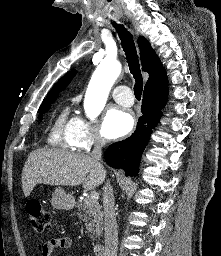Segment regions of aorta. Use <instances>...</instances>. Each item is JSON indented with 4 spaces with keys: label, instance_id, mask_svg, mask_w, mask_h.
Returning <instances> with one entry per match:
<instances>
[{
    "label": "aorta",
    "instance_id": "762f6f07",
    "mask_svg": "<svg viewBox=\"0 0 221 256\" xmlns=\"http://www.w3.org/2000/svg\"><path fill=\"white\" fill-rule=\"evenodd\" d=\"M121 72L118 61L104 60L94 71L89 82L85 99V113L91 119L97 117L103 110L110 89Z\"/></svg>",
    "mask_w": 221,
    "mask_h": 256
}]
</instances>
